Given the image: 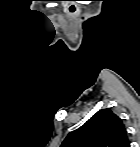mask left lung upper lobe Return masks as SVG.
Returning <instances> with one entry per match:
<instances>
[{
    "label": "left lung upper lobe",
    "mask_w": 140,
    "mask_h": 147,
    "mask_svg": "<svg viewBox=\"0 0 140 147\" xmlns=\"http://www.w3.org/2000/svg\"><path fill=\"white\" fill-rule=\"evenodd\" d=\"M61 147H130V141L122 120L110 109H102L71 132Z\"/></svg>",
    "instance_id": "obj_1"
}]
</instances>
